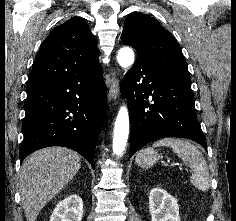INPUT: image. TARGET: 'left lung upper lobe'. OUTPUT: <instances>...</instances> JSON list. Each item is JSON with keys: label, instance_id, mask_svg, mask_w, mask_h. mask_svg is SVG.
Returning a JSON list of instances; mask_svg holds the SVG:
<instances>
[{"label": "left lung upper lobe", "instance_id": "left-lung-upper-lobe-1", "mask_svg": "<svg viewBox=\"0 0 236 221\" xmlns=\"http://www.w3.org/2000/svg\"><path fill=\"white\" fill-rule=\"evenodd\" d=\"M122 41L136 49L137 59H144L190 77L180 45L159 22L140 12L129 14Z\"/></svg>", "mask_w": 236, "mask_h": 221}]
</instances>
